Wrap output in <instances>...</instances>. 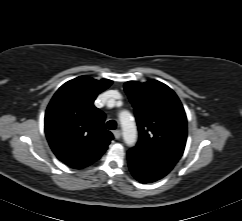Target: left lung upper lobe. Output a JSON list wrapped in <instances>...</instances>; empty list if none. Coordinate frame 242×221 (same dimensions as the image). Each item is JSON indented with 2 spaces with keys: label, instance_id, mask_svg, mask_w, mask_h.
Wrapping results in <instances>:
<instances>
[{
  "label": "left lung upper lobe",
  "instance_id": "left-lung-upper-lobe-1",
  "mask_svg": "<svg viewBox=\"0 0 242 221\" xmlns=\"http://www.w3.org/2000/svg\"><path fill=\"white\" fill-rule=\"evenodd\" d=\"M124 89L139 130V141L131 149L175 165L187 139V118L177 95L157 80L129 81Z\"/></svg>",
  "mask_w": 242,
  "mask_h": 221
}]
</instances>
